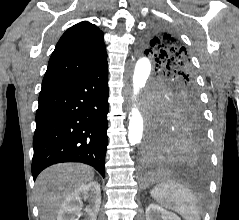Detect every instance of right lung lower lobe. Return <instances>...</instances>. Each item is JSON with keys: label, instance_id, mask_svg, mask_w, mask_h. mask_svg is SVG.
Wrapping results in <instances>:
<instances>
[{"label": "right lung lower lobe", "instance_id": "obj_1", "mask_svg": "<svg viewBox=\"0 0 239 220\" xmlns=\"http://www.w3.org/2000/svg\"><path fill=\"white\" fill-rule=\"evenodd\" d=\"M33 138L34 180L62 162L93 166L103 177L108 144V64L40 91Z\"/></svg>", "mask_w": 239, "mask_h": 220}]
</instances>
